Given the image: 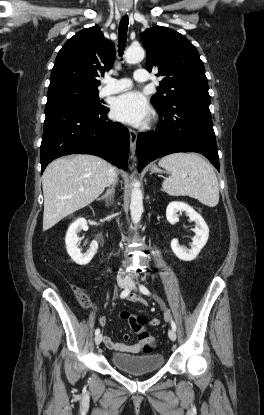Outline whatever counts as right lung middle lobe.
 <instances>
[{"instance_id": "1", "label": "right lung middle lobe", "mask_w": 264, "mask_h": 415, "mask_svg": "<svg viewBox=\"0 0 264 415\" xmlns=\"http://www.w3.org/2000/svg\"><path fill=\"white\" fill-rule=\"evenodd\" d=\"M104 106L98 98V92L93 93H65L48 98L45 113L64 110L81 109L86 111H97Z\"/></svg>"}]
</instances>
